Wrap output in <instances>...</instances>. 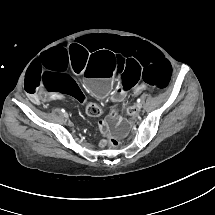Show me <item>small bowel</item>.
Masks as SVG:
<instances>
[{
    "label": "small bowel",
    "mask_w": 215,
    "mask_h": 215,
    "mask_svg": "<svg viewBox=\"0 0 215 215\" xmlns=\"http://www.w3.org/2000/svg\"><path fill=\"white\" fill-rule=\"evenodd\" d=\"M58 96H60V95H58ZM33 101H37V97H34ZM131 108H132V110L130 111V114H135L136 113V108H134V107H131Z\"/></svg>",
    "instance_id": "small-bowel-1"
}]
</instances>
